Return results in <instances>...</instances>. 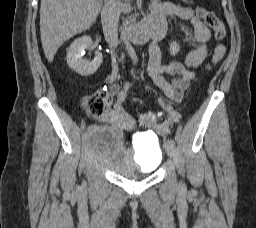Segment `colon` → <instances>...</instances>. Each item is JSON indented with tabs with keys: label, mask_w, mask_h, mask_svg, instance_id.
Wrapping results in <instances>:
<instances>
[{
	"label": "colon",
	"mask_w": 256,
	"mask_h": 228,
	"mask_svg": "<svg viewBox=\"0 0 256 228\" xmlns=\"http://www.w3.org/2000/svg\"><path fill=\"white\" fill-rule=\"evenodd\" d=\"M185 3H191L193 0H182ZM196 13L198 17H200L205 24L214 31V35L216 40L221 41L224 39L226 30L223 22L220 18L212 11L206 10L203 7H197ZM226 52L225 46L219 44L216 46L211 62L208 68H212L217 65L222 58L224 57ZM105 94L104 92H97L91 95H88L83 100V106L87 113L92 117L100 116L105 108ZM159 113H143L139 116V122L142 126L151 127L155 125L159 120Z\"/></svg>",
	"instance_id": "5ec220e1"
}]
</instances>
